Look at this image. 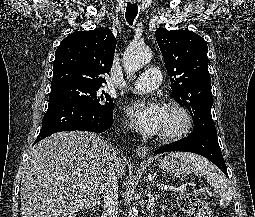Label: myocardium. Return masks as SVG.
<instances>
[{
    "label": "myocardium",
    "mask_w": 255,
    "mask_h": 217,
    "mask_svg": "<svg viewBox=\"0 0 255 217\" xmlns=\"http://www.w3.org/2000/svg\"><path fill=\"white\" fill-rule=\"evenodd\" d=\"M164 109L176 110L182 117L181 126L172 132L159 134L158 139L161 142L170 143L184 138L192 128V116L189 110L180 102L170 101L164 105Z\"/></svg>",
    "instance_id": "obj_1"
}]
</instances>
